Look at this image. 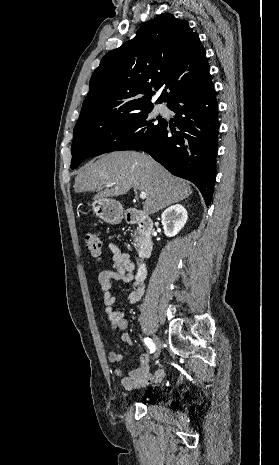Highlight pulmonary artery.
I'll list each match as a JSON object with an SVG mask.
<instances>
[{
  "mask_svg": "<svg viewBox=\"0 0 279 465\" xmlns=\"http://www.w3.org/2000/svg\"><path fill=\"white\" fill-rule=\"evenodd\" d=\"M158 109H159L160 111H164V110H165V107L160 105V106L158 107Z\"/></svg>",
  "mask_w": 279,
  "mask_h": 465,
  "instance_id": "pulmonary-artery-1",
  "label": "pulmonary artery"
}]
</instances>
